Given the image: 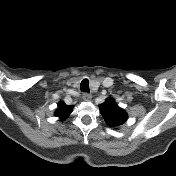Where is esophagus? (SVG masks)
<instances>
[{"label":"esophagus","mask_w":176,"mask_h":176,"mask_svg":"<svg viewBox=\"0 0 176 176\" xmlns=\"http://www.w3.org/2000/svg\"><path fill=\"white\" fill-rule=\"evenodd\" d=\"M91 98H92V96L89 93H84L83 96H82V99L84 101H89V100H91Z\"/></svg>","instance_id":"1"}]
</instances>
